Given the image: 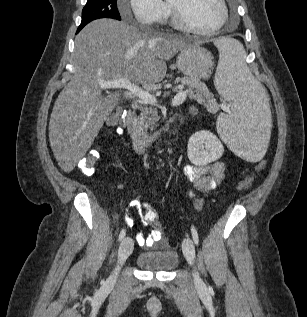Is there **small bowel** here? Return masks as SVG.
<instances>
[{
  "label": "small bowel",
  "mask_w": 307,
  "mask_h": 317,
  "mask_svg": "<svg viewBox=\"0 0 307 317\" xmlns=\"http://www.w3.org/2000/svg\"><path fill=\"white\" fill-rule=\"evenodd\" d=\"M227 167L223 162H215L205 166L187 165L183 168V175L189 181L194 189L198 192H206L215 189L224 179ZM202 205V200L196 198L193 206L199 209ZM130 225V222L128 223ZM136 241L140 246L151 248L155 243L161 241V235L158 231L152 232L145 236L138 234Z\"/></svg>",
  "instance_id": "c3829d8e"
}]
</instances>
